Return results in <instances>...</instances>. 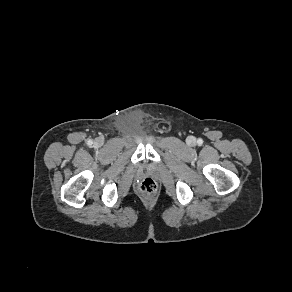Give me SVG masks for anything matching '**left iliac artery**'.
<instances>
[{
    "label": "left iliac artery",
    "mask_w": 292,
    "mask_h": 292,
    "mask_svg": "<svg viewBox=\"0 0 292 292\" xmlns=\"http://www.w3.org/2000/svg\"><path fill=\"white\" fill-rule=\"evenodd\" d=\"M197 143L198 144H202L203 143V140L202 139H198Z\"/></svg>",
    "instance_id": "left-iliac-artery-1"
}]
</instances>
